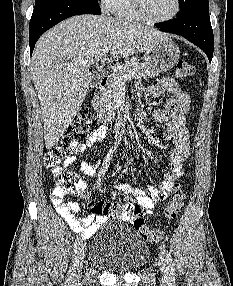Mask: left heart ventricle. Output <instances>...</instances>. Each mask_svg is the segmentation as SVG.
Segmentation results:
<instances>
[{
	"mask_svg": "<svg viewBox=\"0 0 233 286\" xmlns=\"http://www.w3.org/2000/svg\"><path fill=\"white\" fill-rule=\"evenodd\" d=\"M147 14L155 19L171 15L175 9V0H143Z\"/></svg>",
	"mask_w": 233,
	"mask_h": 286,
	"instance_id": "b2bd125f",
	"label": "left heart ventricle"
}]
</instances>
